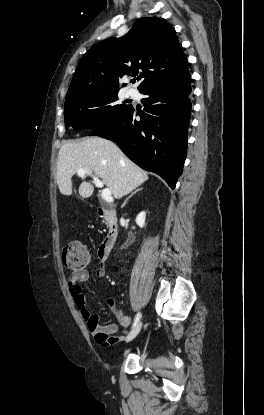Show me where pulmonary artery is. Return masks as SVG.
I'll list each match as a JSON object with an SVG mask.
<instances>
[{"mask_svg":"<svg viewBox=\"0 0 264 415\" xmlns=\"http://www.w3.org/2000/svg\"><path fill=\"white\" fill-rule=\"evenodd\" d=\"M128 94L133 96L135 94V90L134 89H129Z\"/></svg>","mask_w":264,"mask_h":415,"instance_id":"obj_1","label":"pulmonary artery"}]
</instances>
